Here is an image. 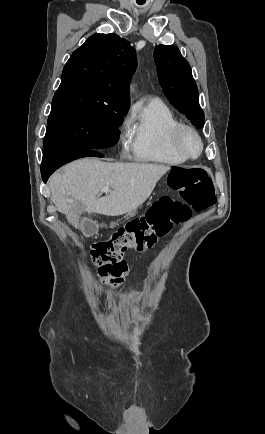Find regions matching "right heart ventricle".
Here are the masks:
<instances>
[{
    "mask_svg": "<svg viewBox=\"0 0 265 434\" xmlns=\"http://www.w3.org/2000/svg\"><path fill=\"white\" fill-rule=\"evenodd\" d=\"M129 124L127 149L136 161L168 166L185 164L173 144V136L181 123L164 101L154 98L137 106Z\"/></svg>",
    "mask_w": 265,
    "mask_h": 434,
    "instance_id": "1",
    "label": "right heart ventricle"
}]
</instances>
